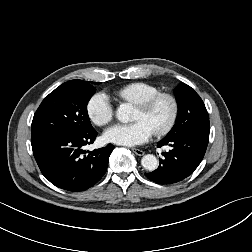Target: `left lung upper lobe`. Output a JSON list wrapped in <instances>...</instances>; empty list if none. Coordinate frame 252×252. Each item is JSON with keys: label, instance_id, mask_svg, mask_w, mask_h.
<instances>
[{"label": "left lung upper lobe", "instance_id": "1", "mask_svg": "<svg viewBox=\"0 0 252 252\" xmlns=\"http://www.w3.org/2000/svg\"><path fill=\"white\" fill-rule=\"evenodd\" d=\"M178 104L176 123L165 138H171L191 130H210L209 117L200 96L187 84L175 90Z\"/></svg>", "mask_w": 252, "mask_h": 252}]
</instances>
